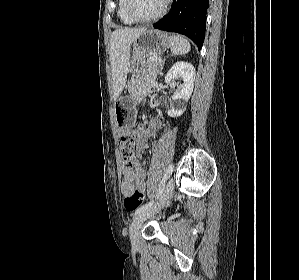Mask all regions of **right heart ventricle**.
I'll list each match as a JSON object with an SVG mask.
<instances>
[{
    "label": "right heart ventricle",
    "instance_id": "obj_1",
    "mask_svg": "<svg viewBox=\"0 0 299 280\" xmlns=\"http://www.w3.org/2000/svg\"><path fill=\"white\" fill-rule=\"evenodd\" d=\"M118 16L121 20V22L125 25H132L135 22H133L127 15L125 10V0H119L118 2Z\"/></svg>",
    "mask_w": 299,
    "mask_h": 280
}]
</instances>
